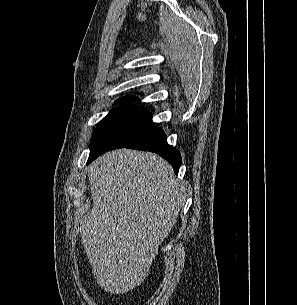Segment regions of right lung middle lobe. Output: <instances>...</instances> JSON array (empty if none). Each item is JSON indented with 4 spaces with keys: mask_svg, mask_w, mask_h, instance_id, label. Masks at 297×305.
Returning <instances> with one entry per match:
<instances>
[{
    "mask_svg": "<svg viewBox=\"0 0 297 305\" xmlns=\"http://www.w3.org/2000/svg\"><path fill=\"white\" fill-rule=\"evenodd\" d=\"M122 99L116 103H132ZM155 127L152 116L140 105H123L114 108L95 129L90 144V155L101 149L124 146L142 137Z\"/></svg>",
    "mask_w": 297,
    "mask_h": 305,
    "instance_id": "right-lung-middle-lobe-1",
    "label": "right lung middle lobe"
}]
</instances>
